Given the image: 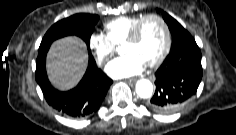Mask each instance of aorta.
<instances>
[{
  "label": "aorta",
  "instance_id": "762f6f07",
  "mask_svg": "<svg viewBox=\"0 0 236 135\" xmlns=\"http://www.w3.org/2000/svg\"><path fill=\"white\" fill-rule=\"evenodd\" d=\"M136 93L141 98H149L153 93V85L147 79H141L136 83Z\"/></svg>",
  "mask_w": 236,
  "mask_h": 135
}]
</instances>
